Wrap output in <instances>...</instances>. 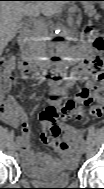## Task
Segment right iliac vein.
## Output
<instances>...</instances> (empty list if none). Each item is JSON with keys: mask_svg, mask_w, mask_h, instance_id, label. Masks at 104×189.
Here are the masks:
<instances>
[{"mask_svg": "<svg viewBox=\"0 0 104 189\" xmlns=\"http://www.w3.org/2000/svg\"><path fill=\"white\" fill-rule=\"evenodd\" d=\"M15 150L20 151L21 150V144L19 142H16L14 145Z\"/></svg>", "mask_w": 104, "mask_h": 189, "instance_id": "right-iliac-vein-1", "label": "right iliac vein"}]
</instances>
